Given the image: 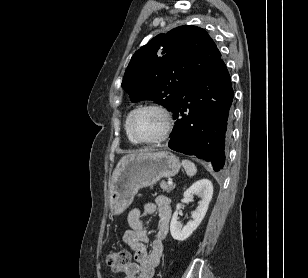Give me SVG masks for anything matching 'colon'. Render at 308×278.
Segmentation results:
<instances>
[{
	"mask_svg": "<svg viewBox=\"0 0 308 278\" xmlns=\"http://www.w3.org/2000/svg\"><path fill=\"white\" fill-rule=\"evenodd\" d=\"M130 253L128 251H115L107 256V264L115 273H123L130 262Z\"/></svg>",
	"mask_w": 308,
	"mask_h": 278,
	"instance_id": "1",
	"label": "colon"
}]
</instances>
